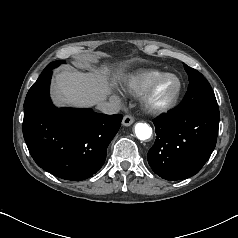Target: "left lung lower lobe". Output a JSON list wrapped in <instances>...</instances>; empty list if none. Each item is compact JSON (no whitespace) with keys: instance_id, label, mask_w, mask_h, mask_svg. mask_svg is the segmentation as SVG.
Returning <instances> with one entry per match:
<instances>
[{"instance_id":"0a47b994","label":"left lung lower lobe","mask_w":238,"mask_h":238,"mask_svg":"<svg viewBox=\"0 0 238 238\" xmlns=\"http://www.w3.org/2000/svg\"><path fill=\"white\" fill-rule=\"evenodd\" d=\"M153 123L157 136L148 152L149 165L163 179H186L200 171L215 148L219 108L208 105L188 113L173 109Z\"/></svg>"}]
</instances>
